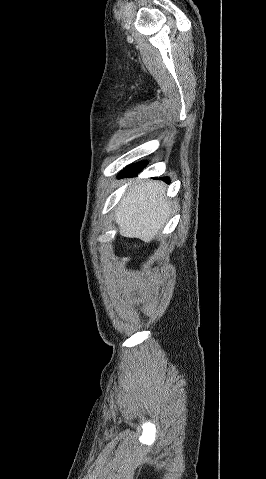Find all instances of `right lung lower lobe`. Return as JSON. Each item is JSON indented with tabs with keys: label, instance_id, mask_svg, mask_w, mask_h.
I'll list each match as a JSON object with an SVG mask.
<instances>
[{
	"label": "right lung lower lobe",
	"instance_id": "right-lung-lower-lobe-1",
	"mask_svg": "<svg viewBox=\"0 0 266 479\" xmlns=\"http://www.w3.org/2000/svg\"><path fill=\"white\" fill-rule=\"evenodd\" d=\"M143 168V163H139L136 165H132L124 169L122 172H120L119 177H124V176H131L135 175L137 172H139ZM162 180H165L166 182H170L169 178H161Z\"/></svg>",
	"mask_w": 266,
	"mask_h": 479
}]
</instances>
